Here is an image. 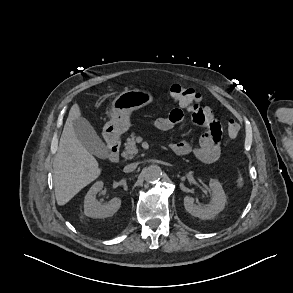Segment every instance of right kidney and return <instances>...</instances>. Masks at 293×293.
Masks as SVG:
<instances>
[{"instance_id": "1", "label": "right kidney", "mask_w": 293, "mask_h": 293, "mask_svg": "<svg viewBox=\"0 0 293 293\" xmlns=\"http://www.w3.org/2000/svg\"><path fill=\"white\" fill-rule=\"evenodd\" d=\"M103 182L98 181L88 191L84 200V214L91 218H106L113 216L121 206V199L115 197L108 203L100 204L96 199L97 193L102 190Z\"/></svg>"}]
</instances>
